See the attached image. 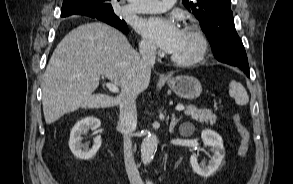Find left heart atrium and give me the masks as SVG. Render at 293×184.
Segmentation results:
<instances>
[{"label":"left heart atrium","mask_w":293,"mask_h":184,"mask_svg":"<svg viewBox=\"0 0 293 184\" xmlns=\"http://www.w3.org/2000/svg\"><path fill=\"white\" fill-rule=\"evenodd\" d=\"M140 32L167 53L178 47L183 31L171 19L152 17L139 24Z\"/></svg>","instance_id":"39dd6f15"}]
</instances>
